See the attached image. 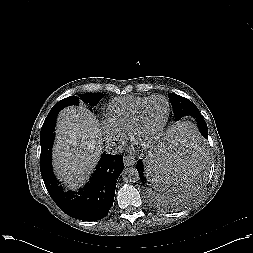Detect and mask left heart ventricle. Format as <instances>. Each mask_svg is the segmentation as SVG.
Listing matches in <instances>:
<instances>
[{"instance_id":"b2bd125f","label":"left heart ventricle","mask_w":253,"mask_h":253,"mask_svg":"<svg viewBox=\"0 0 253 253\" xmlns=\"http://www.w3.org/2000/svg\"><path fill=\"white\" fill-rule=\"evenodd\" d=\"M167 108L166 101L160 98L145 108L137 133L138 139L145 140L159 129L166 117Z\"/></svg>"}]
</instances>
